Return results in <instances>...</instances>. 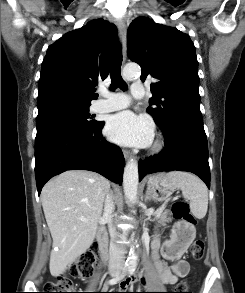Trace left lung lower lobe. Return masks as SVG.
<instances>
[{
    "instance_id": "obj_1",
    "label": "left lung lower lobe",
    "mask_w": 245,
    "mask_h": 293,
    "mask_svg": "<svg viewBox=\"0 0 245 293\" xmlns=\"http://www.w3.org/2000/svg\"><path fill=\"white\" fill-rule=\"evenodd\" d=\"M161 130L165 148L160 154L139 161V181L147 174L179 170L196 174L210 188L208 144L203 123L177 118Z\"/></svg>"
}]
</instances>
